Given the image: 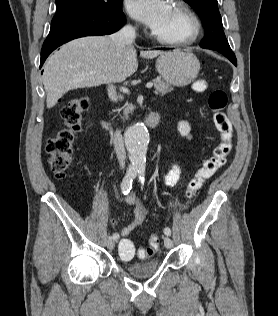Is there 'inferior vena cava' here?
Masks as SVG:
<instances>
[{
  "instance_id": "1",
  "label": "inferior vena cava",
  "mask_w": 278,
  "mask_h": 316,
  "mask_svg": "<svg viewBox=\"0 0 278 316\" xmlns=\"http://www.w3.org/2000/svg\"><path fill=\"white\" fill-rule=\"evenodd\" d=\"M135 38H136L135 28L132 27L131 25H126L122 29H120L118 32L111 35V39L116 45L117 52H121L124 47L128 45H132V43L135 41ZM108 95L111 100L117 101L116 91L113 88V86H109ZM113 145H114V150H115L119 165L121 169H124L125 160H126V151H125L123 137L119 130H117L113 136Z\"/></svg>"
}]
</instances>
